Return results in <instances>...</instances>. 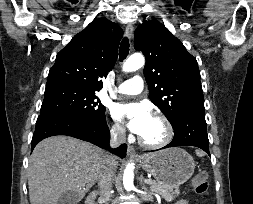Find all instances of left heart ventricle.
<instances>
[{
    "label": "left heart ventricle",
    "mask_w": 253,
    "mask_h": 204,
    "mask_svg": "<svg viewBox=\"0 0 253 204\" xmlns=\"http://www.w3.org/2000/svg\"><path fill=\"white\" fill-rule=\"evenodd\" d=\"M139 136L147 142L156 143L164 138L165 128L159 120L152 117Z\"/></svg>",
    "instance_id": "b2bd125f"
}]
</instances>
